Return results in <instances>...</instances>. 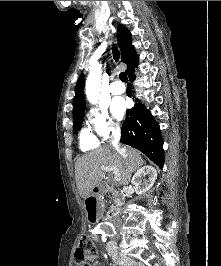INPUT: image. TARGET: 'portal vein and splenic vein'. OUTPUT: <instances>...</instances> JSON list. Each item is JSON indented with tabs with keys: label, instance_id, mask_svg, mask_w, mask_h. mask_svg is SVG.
Returning <instances> with one entry per match:
<instances>
[{
	"label": "portal vein and splenic vein",
	"instance_id": "portal-vein-and-splenic-vein-1",
	"mask_svg": "<svg viewBox=\"0 0 221 266\" xmlns=\"http://www.w3.org/2000/svg\"><path fill=\"white\" fill-rule=\"evenodd\" d=\"M101 169L105 172L112 171L114 173V179L115 181L119 182L121 179V175L116 167L107 166V167H101Z\"/></svg>",
	"mask_w": 221,
	"mask_h": 266
}]
</instances>
